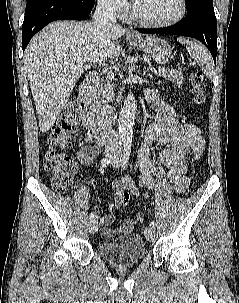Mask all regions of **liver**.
<instances>
[{
    "instance_id": "6515ba94",
    "label": "liver",
    "mask_w": 239,
    "mask_h": 303,
    "mask_svg": "<svg viewBox=\"0 0 239 303\" xmlns=\"http://www.w3.org/2000/svg\"><path fill=\"white\" fill-rule=\"evenodd\" d=\"M125 32L118 24L55 21L32 38L24 52V73L42 133L51 128L91 63L119 55L121 47L114 42Z\"/></svg>"
}]
</instances>
